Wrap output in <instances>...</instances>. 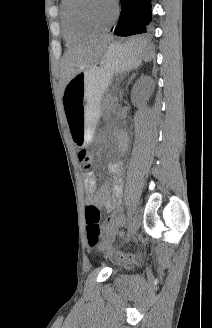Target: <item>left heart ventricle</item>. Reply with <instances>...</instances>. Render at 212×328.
Returning <instances> with one entry per match:
<instances>
[{"instance_id":"1","label":"left heart ventricle","mask_w":212,"mask_h":328,"mask_svg":"<svg viewBox=\"0 0 212 328\" xmlns=\"http://www.w3.org/2000/svg\"><path fill=\"white\" fill-rule=\"evenodd\" d=\"M77 13L84 22L100 27L111 21L114 7L110 0H85L79 6Z\"/></svg>"}]
</instances>
